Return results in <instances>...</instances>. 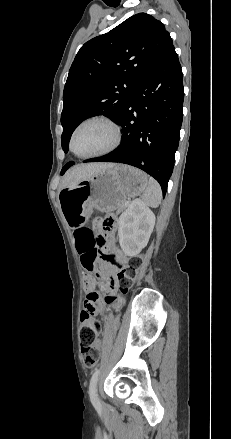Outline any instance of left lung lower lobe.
I'll return each instance as SVG.
<instances>
[{
	"label": "left lung lower lobe",
	"mask_w": 231,
	"mask_h": 439,
	"mask_svg": "<svg viewBox=\"0 0 231 439\" xmlns=\"http://www.w3.org/2000/svg\"><path fill=\"white\" fill-rule=\"evenodd\" d=\"M182 81L181 66L172 46L132 90L117 120L123 128L121 145L103 157L84 162L135 166L154 177L165 195L183 118Z\"/></svg>",
	"instance_id": "left-lung-lower-lobe-1"
}]
</instances>
